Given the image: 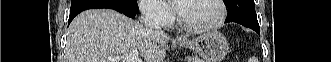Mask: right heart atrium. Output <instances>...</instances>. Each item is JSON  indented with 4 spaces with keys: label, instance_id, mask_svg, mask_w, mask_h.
<instances>
[{
    "label": "right heart atrium",
    "instance_id": "obj_1",
    "mask_svg": "<svg viewBox=\"0 0 331 62\" xmlns=\"http://www.w3.org/2000/svg\"><path fill=\"white\" fill-rule=\"evenodd\" d=\"M139 8L147 19L164 25H168L173 19L170 8L160 0H141Z\"/></svg>",
    "mask_w": 331,
    "mask_h": 62
}]
</instances>
